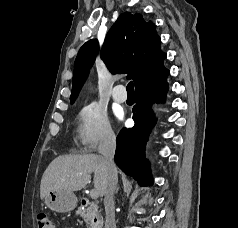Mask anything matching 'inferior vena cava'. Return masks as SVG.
Here are the masks:
<instances>
[{"label": "inferior vena cava", "instance_id": "inferior-vena-cava-1", "mask_svg": "<svg viewBox=\"0 0 238 228\" xmlns=\"http://www.w3.org/2000/svg\"><path fill=\"white\" fill-rule=\"evenodd\" d=\"M116 150V137L114 133H107L99 144L98 152L102 157L108 171V179L104 194L105 206V228H116L114 212V192L116 190L118 177L114 163Z\"/></svg>", "mask_w": 238, "mask_h": 228}]
</instances>
